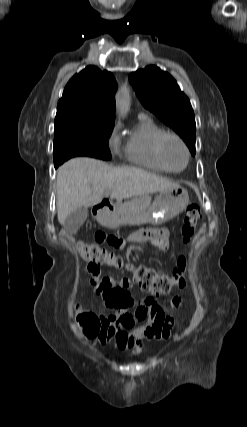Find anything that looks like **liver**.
I'll use <instances>...</instances> for the list:
<instances>
[{
	"instance_id": "1",
	"label": "liver",
	"mask_w": 247,
	"mask_h": 427,
	"mask_svg": "<svg viewBox=\"0 0 247 427\" xmlns=\"http://www.w3.org/2000/svg\"><path fill=\"white\" fill-rule=\"evenodd\" d=\"M177 186L141 168L112 167L93 158H74L57 173L58 221L63 225L73 210L97 205L107 195L120 200Z\"/></svg>"
}]
</instances>
